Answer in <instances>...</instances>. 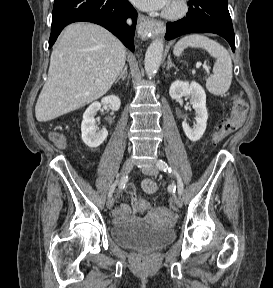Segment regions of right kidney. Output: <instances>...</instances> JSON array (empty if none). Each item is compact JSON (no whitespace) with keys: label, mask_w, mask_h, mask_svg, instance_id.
Instances as JSON below:
<instances>
[{"label":"right kidney","mask_w":273,"mask_h":288,"mask_svg":"<svg viewBox=\"0 0 273 288\" xmlns=\"http://www.w3.org/2000/svg\"><path fill=\"white\" fill-rule=\"evenodd\" d=\"M102 105H108L112 111H118L121 105L119 97L110 95L104 97L101 103H92L83 114L81 123L82 140L90 148L99 147L108 136L106 128L97 130L95 127V115L101 109Z\"/></svg>","instance_id":"ca27d5eb"}]
</instances>
